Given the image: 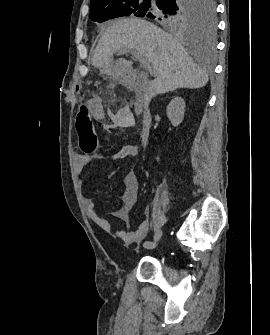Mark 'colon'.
<instances>
[{"mask_svg":"<svg viewBox=\"0 0 270 335\" xmlns=\"http://www.w3.org/2000/svg\"><path fill=\"white\" fill-rule=\"evenodd\" d=\"M76 123H78V134H84L83 142H80V147H83V152L91 155L98 148V137L93 129V116H89L88 110L76 111Z\"/></svg>","mask_w":270,"mask_h":335,"instance_id":"obj_1","label":"colon"}]
</instances>
